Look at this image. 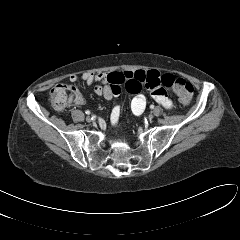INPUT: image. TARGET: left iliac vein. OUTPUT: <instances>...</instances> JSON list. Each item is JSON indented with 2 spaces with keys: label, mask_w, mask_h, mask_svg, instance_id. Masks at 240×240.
<instances>
[{
  "label": "left iliac vein",
  "mask_w": 240,
  "mask_h": 240,
  "mask_svg": "<svg viewBox=\"0 0 240 240\" xmlns=\"http://www.w3.org/2000/svg\"><path fill=\"white\" fill-rule=\"evenodd\" d=\"M153 117H154V116H153L152 114H150V115L148 116V119H149V120H152Z\"/></svg>",
  "instance_id": "4c4485c4"
}]
</instances>
